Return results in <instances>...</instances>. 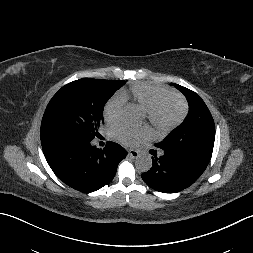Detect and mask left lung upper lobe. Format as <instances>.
I'll return each mask as SVG.
<instances>
[{
	"label": "left lung upper lobe",
	"instance_id": "left-lung-upper-lobe-1",
	"mask_svg": "<svg viewBox=\"0 0 253 253\" xmlns=\"http://www.w3.org/2000/svg\"><path fill=\"white\" fill-rule=\"evenodd\" d=\"M174 86L186 96L189 113L181 126L155 146L163 150L183 152L209 163L215 140L212 115L198 94L183 86L177 84Z\"/></svg>",
	"mask_w": 253,
	"mask_h": 253
}]
</instances>
